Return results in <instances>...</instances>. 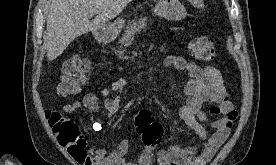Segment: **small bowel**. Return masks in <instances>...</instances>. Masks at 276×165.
Here are the masks:
<instances>
[{
    "mask_svg": "<svg viewBox=\"0 0 276 165\" xmlns=\"http://www.w3.org/2000/svg\"><path fill=\"white\" fill-rule=\"evenodd\" d=\"M164 66L185 72L189 77L183 90V103L179 109V116L190 129L205 140L201 151L196 153L192 147L171 146L160 149L155 156L152 147L145 146L137 160L130 161L126 158L130 148L127 139L121 140L115 150L108 151L105 148H87V141L82 136V145L67 146L69 153L79 165H152L155 160L158 165H207L228 138L237 118V112L229 101L222 75L214 66H200L181 56H168L164 60ZM126 85V80L120 78L100 91L104 98V108L109 116L118 112ZM207 104L210 105V113L219 117L212 123L211 136L207 135L202 125V122L208 120L205 112ZM82 107L96 113L100 107L98 96L92 92L86 93L82 100L64 105L62 113L70 115ZM51 112H46L47 118ZM103 127L104 124L100 122L92 124V129L95 131Z\"/></svg>",
    "mask_w": 276,
    "mask_h": 165,
    "instance_id": "obj_1",
    "label": "small bowel"
}]
</instances>
